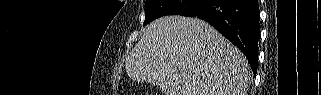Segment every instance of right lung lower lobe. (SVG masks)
I'll use <instances>...</instances> for the list:
<instances>
[{"mask_svg":"<svg viewBox=\"0 0 321 95\" xmlns=\"http://www.w3.org/2000/svg\"><path fill=\"white\" fill-rule=\"evenodd\" d=\"M189 17L207 21L236 45L256 74L260 37L258 0H207Z\"/></svg>","mask_w":321,"mask_h":95,"instance_id":"1","label":"right lung lower lobe"}]
</instances>
